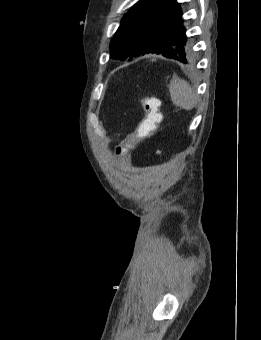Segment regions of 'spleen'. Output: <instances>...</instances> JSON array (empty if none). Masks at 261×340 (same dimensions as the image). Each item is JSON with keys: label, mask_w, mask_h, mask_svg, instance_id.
I'll return each instance as SVG.
<instances>
[{"label": "spleen", "mask_w": 261, "mask_h": 340, "mask_svg": "<svg viewBox=\"0 0 261 340\" xmlns=\"http://www.w3.org/2000/svg\"><path fill=\"white\" fill-rule=\"evenodd\" d=\"M170 97L173 104L185 110H191L198 103V96L190 84L178 77H173L169 84Z\"/></svg>", "instance_id": "1"}]
</instances>
